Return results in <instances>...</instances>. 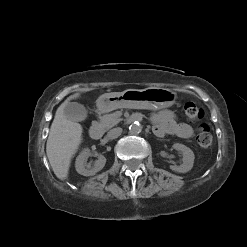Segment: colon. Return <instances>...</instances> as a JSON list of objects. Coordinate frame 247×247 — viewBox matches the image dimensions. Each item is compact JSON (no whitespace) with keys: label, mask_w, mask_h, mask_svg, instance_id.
<instances>
[{"label":"colon","mask_w":247,"mask_h":247,"mask_svg":"<svg viewBox=\"0 0 247 247\" xmlns=\"http://www.w3.org/2000/svg\"><path fill=\"white\" fill-rule=\"evenodd\" d=\"M184 113L186 119L192 123L199 122L204 116L203 110L193 102H187L184 105ZM197 141L201 148L208 149L211 147L213 139L210 133L209 126L207 124H199Z\"/></svg>","instance_id":"obj_1"}]
</instances>
